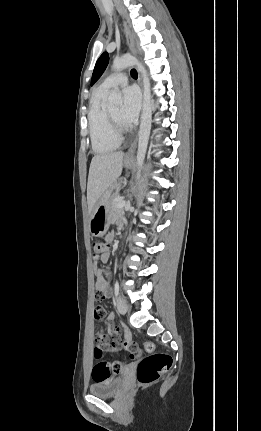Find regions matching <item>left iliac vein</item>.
Here are the masks:
<instances>
[{"instance_id": "obj_1", "label": "left iliac vein", "mask_w": 261, "mask_h": 431, "mask_svg": "<svg viewBox=\"0 0 261 431\" xmlns=\"http://www.w3.org/2000/svg\"><path fill=\"white\" fill-rule=\"evenodd\" d=\"M116 307H117L118 312L121 315H124L127 312V309H128L125 298H123L122 296H119L117 298Z\"/></svg>"}]
</instances>
